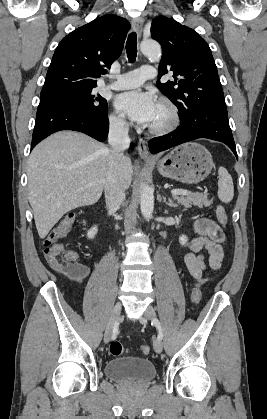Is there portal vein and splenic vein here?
<instances>
[{"mask_svg":"<svg viewBox=\"0 0 267 419\" xmlns=\"http://www.w3.org/2000/svg\"><path fill=\"white\" fill-rule=\"evenodd\" d=\"M171 193H172L173 196L190 194L189 191L183 190V189H173V190H171Z\"/></svg>","mask_w":267,"mask_h":419,"instance_id":"1","label":"portal vein and splenic vein"}]
</instances>
